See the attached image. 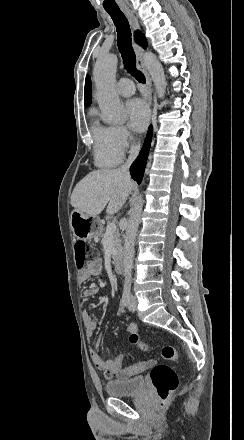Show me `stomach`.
<instances>
[{
  "mask_svg": "<svg viewBox=\"0 0 244 440\" xmlns=\"http://www.w3.org/2000/svg\"><path fill=\"white\" fill-rule=\"evenodd\" d=\"M70 228L73 232V236L77 240H91L102 232V226L99 218L79 212V210H73L70 216Z\"/></svg>",
  "mask_w": 244,
  "mask_h": 440,
  "instance_id": "0dacf381",
  "label": "stomach"
}]
</instances>
